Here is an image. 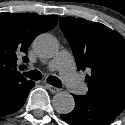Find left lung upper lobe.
<instances>
[{"instance_id":"5c2ea615","label":"left lung upper lobe","mask_w":125,"mask_h":125,"mask_svg":"<svg viewBox=\"0 0 125 125\" xmlns=\"http://www.w3.org/2000/svg\"><path fill=\"white\" fill-rule=\"evenodd\" d=\"M78 70L89 69L88 97L125 100V40L107 26L82 18H60Z\"/></svg>"}]
</instances>
